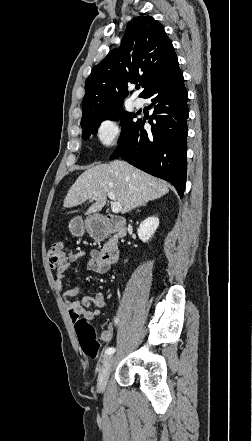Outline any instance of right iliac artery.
I'll use <instances>...</instances> for the list:
<instances>
[{"label":"right iliac artery","mask_w":252,"mask_h":441,"mask_svg":"<svg viewBox=\"0 0 252 441\" xmlns=\"http://www.w3.org/2000/svg\"><path fill=\"white\" fill-rule=\"evenodd\" d=\"M115 323H117V320H115ZM115 352V348H113V347H108L106 350H105V355H111V354H113Z\"/></svg>","instance_id":"82829eb1"}]
</instances>
